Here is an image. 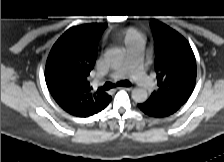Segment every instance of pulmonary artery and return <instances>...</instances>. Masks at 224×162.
<instances>
[{
  "instance_id": "1",
  "label": "pulmonary artery",
  "mask_w": 224,
  "mask_h": 162,
  "mask_svg": "<svg viewBox=\"0 0 224 162\" xmlns=\"http://www.w3.org/2000/svg\"><path fill=\"white\" fill-rule=\"evenodd\" d=\"M129 77L144 89H152L155 85L153 79L145 73L143 62V41L138 39L129 43L128 55L124 64L112 70L107 78L111 81H119Z\"/></svg>"
}]
</instances>
